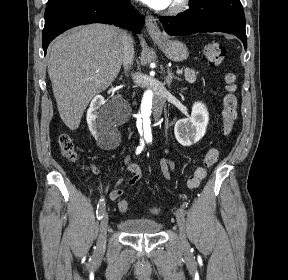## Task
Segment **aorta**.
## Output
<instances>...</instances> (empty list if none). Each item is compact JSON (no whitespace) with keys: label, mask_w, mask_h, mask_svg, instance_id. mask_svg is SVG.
<instances>
[{"label":"aorta","mask_w":288,"mask_h":280,"mask_svg":"<svg viewBox=\"0 0 288 280\" xmlns=\"http://www.w3.org/2000/svg\"><path fill=\"white\" fill-rule=\"evenodd\" d=\"M153 101V92L148 89L143 96L141 106H138L137 115H135V120H148V116H151ZM136 126H138L137 136L140 140H151L152 136V126L151 121H136Z\"/></svg>","instance_id":"1"}]
</instances>
